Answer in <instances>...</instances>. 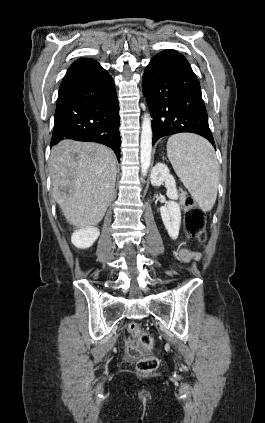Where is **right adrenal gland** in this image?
Returning <instances> with one entry per match:
<instances>
[{
	"instance_id": "1",
	"label": "right adrenal gland",
	"mask_w": 265,
	"mask_h": 423,
	"mask_svg": "<svg viewBox=\"0 0 265 423\" xmlns=\"http://www.w3.org/2000/svg\"><path fill=\"white\" fill-rule=\"evenodd\" d=\"M115 195V190H114V192H113V196Z\"/></svg>"
}]
</instances>
